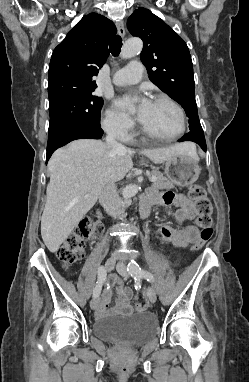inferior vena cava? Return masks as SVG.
Segmentation results:
<instances>
[{
  "mask_svg": "<svg viewBox=\"0 0 249 382\" xmlns=\"http://www.w3.org/2000/svg\"><path fill=\"white\" fill-rule=\"evenodd\" d=\"M106 143L115 150H125L126 147L117 142L114 133H108ZM99 202L110 216L117 218L123 214L120 206V199L117 194V188L114 181H107L99 194Z\"/></svg>",
  "mask_w": 249,
  "mask_h": 382,
  "instance_id": "obj_1",
  "label": "inferior vena cava"
}]
</instances>
